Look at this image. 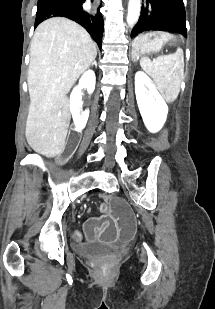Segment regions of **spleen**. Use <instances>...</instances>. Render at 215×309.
I'll return each instance as SVG.
<instances>
[{"label":"spleen","mask_w":215,"mask_h":309,"mask_svg":"<svg viewBox=\"0 0 215 309\" xmlns=\"http://www.w3.org/2000/svg\"><path fill=\"white\" fill-rule=\"evenodd\" d=\"M182 56V48H177L173 54L157 56L154 62H152L149 56H142L140 58L143 70L153 78L166 102H174L180 92L181 74L179 66Z\"/></svg>","instance_id":"1"}]
</instances>
